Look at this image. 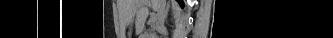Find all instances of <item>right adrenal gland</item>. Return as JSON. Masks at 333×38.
<instances>
[{
    "instance_id": "right-adrenal-gland-1",
    "label": "right adrenal gland",
    "mask_w": 333,
    "mask_h": 38,
    "mask_svg": "<svg viewBox=\"0 0 333 38\" xmlns=\"http://www.w3.org/2000/svg\"><path fill=\"white\" fill-rule=\"evenodd\" d=\"M169 8H170V3L168 2V4L166 5V9H165L166 18L168 17Z\"/></svg>"
}]
</instances>
